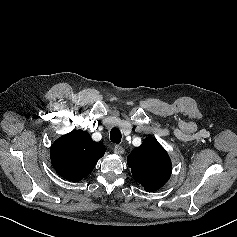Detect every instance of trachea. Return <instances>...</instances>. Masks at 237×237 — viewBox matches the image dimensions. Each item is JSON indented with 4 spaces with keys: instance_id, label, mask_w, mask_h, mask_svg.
Segmentation results:
<instances>
[{
    "instance_id": "3493384b",
    "label": "trachea",
    "mask_w": 237,
    "mask_h": 237,
    "mask_svg": "<svg viewBox=\"0 0 237 237\" xmlns=\"http://www.w3.org/2000/svg\"><path fill=\"white\" fill-rule=\"evenodd\" d=\"M122 134L118 128H113L110 131V139L112 142L119 144L121 142Z\"/></svg>"
}]
</instances>
